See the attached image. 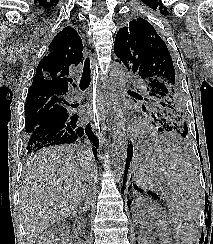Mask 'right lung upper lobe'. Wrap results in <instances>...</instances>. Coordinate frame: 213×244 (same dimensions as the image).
Segmentation results:
<instances>
[{"label": "right lung upper lobe", "mask_w": 213, "mask_h": 244, "mask_svg": "<svg viewBox=\"0 0 213 244\" xmlns=\"http://www.w3.org/2000/svg\"><path fill=\"white\" fill-rule=\"evenodd\" d=\"M82 51V40L77 31L65 27L54 37L49 53L40 61L27 97L44 94L65 96L72 83L68 78L69 73L83 62Z\"/></svg>", "instance_id": "1"}]
</instances>
